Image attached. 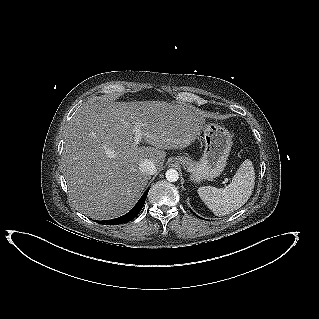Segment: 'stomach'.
Masks as SVG:
<instances>
[{
	"instance_id": "1",
	"label": "stomach",
	"mask_w": 319,
	"mask_h": 319,
	"mask_svg": "<svg viewBox=\"0 0 319 319\" xmlns=\"http://www.w3.org/2000/svg\"><path fill=\"white\" fill-rule=\"evenodd\" d=\"M202 130L205 150L200 161L186 156L173 159L174 163L181 164L187 169L190 179L194 182L218 177L226 167L232 146V135L225 127L208 122L204 123Z\"/></svg>"
}]
</instances>
